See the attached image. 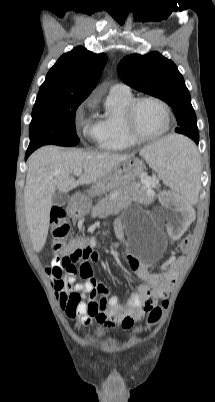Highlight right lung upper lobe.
Here are the masks:
<instances>
[{
  "label": "right lung upper lobe",
  "mask_w": 215,
  "mask_h": 402,
  "mask_svg": "<svg viewBox=\"0 0 215 402\" xmlns=\"http://www.w3.org/2000/svg\"><path fill=\"white\" fill-rule=\"evenodd\" d=\"M107 56L78 46L63 54L47 73L38 95L86 98L95 88Z\"/></svg>",
  "instance_id": "obj_1"
}]
</instances>
